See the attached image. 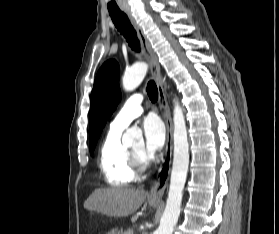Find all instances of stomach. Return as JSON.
<instances>
[{
    "instance_id": "obj_1",
    "label": "stomach",
    "mask_w": 279,
    "mask_h": 234,
    "mask_svg": "<svg viewBox=\"0 0 279 234\" xmlns=\"http://www.w3.org/2000/svg\"><path fill=\"white\" fill-rule=\"evenodd\" d=\"M159 204L158 201H152V200H149V205L152 206V207H155ZM109 234H114V233H109Z\"/></svg>"
}]
</instances>
